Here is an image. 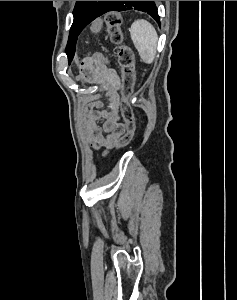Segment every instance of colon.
<instances>
[{
  "instance_id": "colon-1",
  "label": "colon",
  "mask_w": 237,
  "mask_h": 300,
  "mask_svg": "<svg viewBox=\"0 0 237 300\" xmlns=\"http://www.w3.org/2000/svg\"><path fill=\"white\" fill-rule=\"evenodd\" d=\"M122 15L118 11H111L105 14L103 18L95 19L91 25V31L97 33L103 26L109 33L112 43L115 45V55L121 69L122 88L120 111L125 122V132L118 139L117 147L119 149L127 146L135 133V118L130 105V96L135 82V58L132 49L124 44L121 33ZM91 65H106V58L102 54H93L86 58Z\"/></svg>"
}]
</instances>
